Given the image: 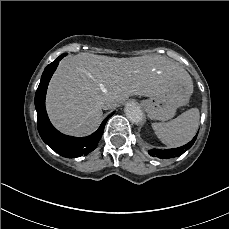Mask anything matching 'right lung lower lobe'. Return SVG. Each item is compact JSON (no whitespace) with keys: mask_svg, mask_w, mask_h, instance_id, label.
<instances>
[{"mask_svg":"<svg viewBox=\"0 0 229 229\" xmlns=\"http://www.w3.org/2000/svg\"><path fill=\"white\" fill-rule=\"evenodd\" d=\"M66 55V53L60 55L55 61L46 66L35 94V108L37 111L38 132L42 140L59 155L67 158H74L87 155L97 147L103 134L105 124L114 112L102 122L95 133L83 138L64 135L53 127L45 109V96L49 81L59 61Z\"/></svg>","mask_w":229,"mask_h":229,"instance_id":"98d812e1","label":"right lung lower lobe"}]
</instances>
